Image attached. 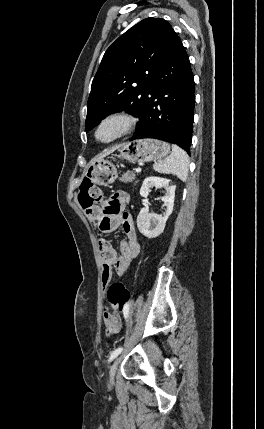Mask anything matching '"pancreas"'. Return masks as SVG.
Returning a JSON list of instances; mask_svg holds the SVG:
<instances>
[{"label": "pancreas", "mask_w": 264, "mask_h": 429, "mask_svg": "<svg viewBox=\"0 0 264 429\" xmlns=\"http://www.w3.org/2000/svg\"><path fill=\"white\" fill-rule=\"evenodd\" d=\"M136 179V175L133 171L125 172L122 177H120V181L124 183L133 182Z\"/></svg>", "instance_id": "obj_1"}]
</instances>
